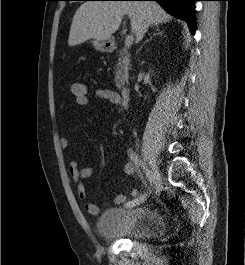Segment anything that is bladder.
Instances as JSON below:
<instances>
[{"label": "bladder", "mask_w": 245, "mask_h": 265, "mask_svg": "<svg viewBox=\"0 0 245 265\" xmlns=\"http://www.w3.org/2000/svg\"><path fill=\"white\" fill-rule=\"evenodd\" d=\"M96 227L102 236L133 240L153 239L165 231L155 210L142 206L105 209L99 214Z\"/></svg>", "instance_id": "bladder-1"}]
</instances>
